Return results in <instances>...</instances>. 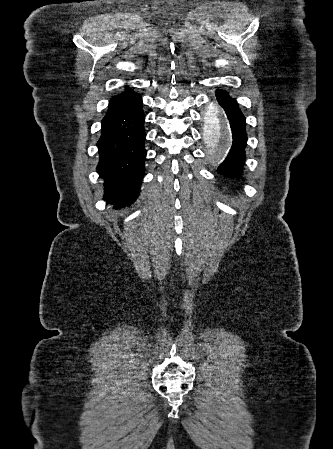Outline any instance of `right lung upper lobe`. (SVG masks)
I'll list each match as a JSON object with an SVG mask.
<instances>
[{"instance_id":"1","label":"right lung upper lobe","mask_w":333,"mask_h":449,"mask_svg":"<svg viewBox=\"0 0 333 449\" xmlns=\"http://www.w3.org/2000/svg\"><path fill=\"white\" fill-rule=\"evenodd\" d=\"M131 94H135V92L132 91V90L127 89L124 93H122V94H120V95H118V96L113 97V98L110 100V102L112 103V102L119 101L120 99L124 98L125 96L131 95Z\"/></svg>"}]
</instances>
